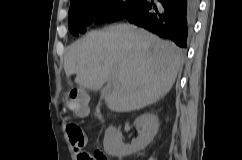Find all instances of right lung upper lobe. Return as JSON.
<instances>
[{"label": "right lung upper lobe", "mask_w": 242, "mask_h": 160, "mask_svg": "<svg viewBox=\"0 0 242 160\" xmlns=\"http://www.w3.org/2000/svg\"><path fill=\"white\" fill-rule=\"evenodd\" d=\"M80 1H82V0H71L70 5H73V4H75V3H77V2H80Z\"/></svg>", "instance_id": "cb5924a9"}]
</instances>
